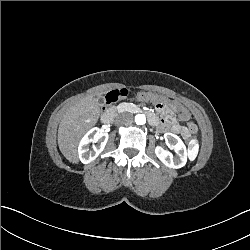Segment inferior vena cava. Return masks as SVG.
I'll use <instances>...</instances> for the list:
<instances>
[{
    "mask_svg": "<svg viewBox=\"0 0 250 250\" xmlns=\"http://www.w3.org/2000/svg\"><path fill=\"white\" fill-rule=\"evenodd\" d=\"M132 122H133V115L127 112L119 114L115 119V123L117 125H129Z\"/></svg>",
    "mask_w": 250,
    "mask_h": 250,
    "instance_id": "inferior-vena-cava-1",
    "label": "inferior vena cava"
}]
</instances>
